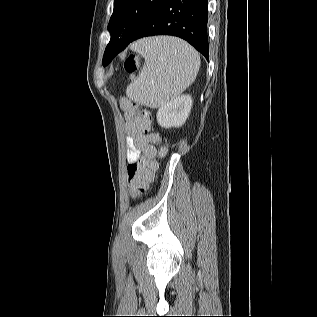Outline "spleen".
<instances>
[{
	"label": "spleen",
	"instance_id": "1",
	"mask_svg": "<svg viewBox=\"0 0 317 317\" xmlns=\"http://www.w3.org/2000/svg\"><path fill=\"white\" fill-rule=\"evenodd\" d=\"M131 49L145 59L139 76L127 86L129 99L151 108L178 97L197 76L200 56L185 41L175 37L140 39Z\"/></svg>",
	"mask_w": 317,
	"mask_h": 317
}]
</instances>
